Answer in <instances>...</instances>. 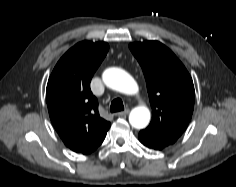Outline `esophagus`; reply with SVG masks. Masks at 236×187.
<instances>
[{
  "label": "esophagus",
  "mask_w": 236,
  "mask_h": 187,
  "mask_svg": "<svg viewBox=\"0 0 236 187\" xmlns=\"http://www.w3.org/2000/svg\"><path fill=\"white\" fill-rule=\"evenodd\" d=\"M129 112H130V110L126 109L124 111L118 112L116 115L119 116V117H122V116L128 115Z\"/></svg>",
  "instance_id": "esophagus-1"
}]
</instances>
